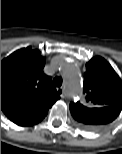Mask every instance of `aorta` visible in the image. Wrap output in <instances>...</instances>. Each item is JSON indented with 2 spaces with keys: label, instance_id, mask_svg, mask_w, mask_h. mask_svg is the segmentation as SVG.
<instances>
[{
  "label": "aorta",
  "instance_id": "762f6f07",
  "mask_svg": "<svg viewBox=\"0 0 122 154\" xmlns=\"http://www.w3.org/2000/svg\"><path fill=\"white\" fill-rule=\"evenodd\" d=\"M61 71L69 94L72 96L80 94L82 85L77 66L73 62L64 61L61 66Z\"/></svg>",
  "mask_w": 122,
  "mask_h": 154
}]
</instances>
